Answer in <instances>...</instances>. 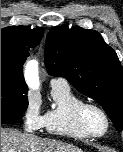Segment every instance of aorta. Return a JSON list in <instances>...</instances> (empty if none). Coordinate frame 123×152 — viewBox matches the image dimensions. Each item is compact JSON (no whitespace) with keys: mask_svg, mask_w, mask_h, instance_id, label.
Wrapping results in <instances>:
<instances>
[{"mask_svg":"<svg viewBox=\"0 0 123 152\" xmlns=\"http://www.w3.org/2000/svg\"><path fill=\"white\" fill-rule=\"evenodd\" d=\"M26 79L32 89H37L39 86L38 80V63L35 60H31L26 65Z\"/></svg>","mask_w":123,"mask_h":152,"instance_id":"1","label":"aorta"}]
</instances>
